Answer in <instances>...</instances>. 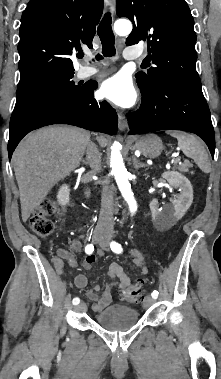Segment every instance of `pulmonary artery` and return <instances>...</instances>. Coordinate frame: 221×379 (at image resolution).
Listing matches in <instances>:
<instances>
[{
    "label": "pulmonary artery",
    "instance_id": "obj_1",
    "mask_svg": "<svg viewBox=\"0 0 221 379\" xmlns=\"http://www.w3.org/2000/svg\"><path fill=\"white\" fill-rule=\"evenodd\" d=\"M142 53L138 49L127 48L124 51V57L128 60H135L141 57ZM93 59L92 56L89 57ZM99 72V68L96 66H83L78 70V76L81 78L90 77Z\"/></svg>",
    "mask_w": 221,
    "mask_h": 379
}]
</instances>
